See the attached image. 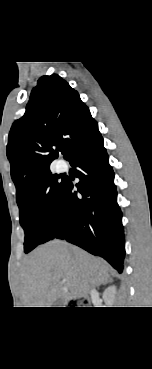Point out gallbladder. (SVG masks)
<instances>
[{"label": "gallbladder", "instance_id": "bac80fb5", "mask_svg": "<svg viewBox=\"0 0 152 369\" xmlns=\"http://www.w3.org/2000/svg\"><path fill=\"white\" fill-rule=\"evenodd\" d=\"M58 301H59V302H57V304H61V303H62V302H61V301H62V299H61V298H59V299H58Z\"/></svg>", "mask_w": 152, "mask_h": 369}]
</instances>
